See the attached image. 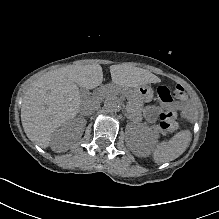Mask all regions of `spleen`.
I'll list each match as a JSON object with an SVG mask.
<instances>
[{
    "label": "spleen",
    "instance_id": "3e777b00",
    "mask_svg": "<svg viewBox=\"0 0 219 219\" xmlns=\"http://www.w3.org/2000/svg\"><path fill=\"white\" fill-rule=\"evenodd\" d=\"M190 141L189 132H181L174 136L169 144L162 143L155 152L157 162L171 161L179 157L187 148Z\"/></svg>",
    "mask_w": 219,
    "mask_h": 219
}]
</instances>
